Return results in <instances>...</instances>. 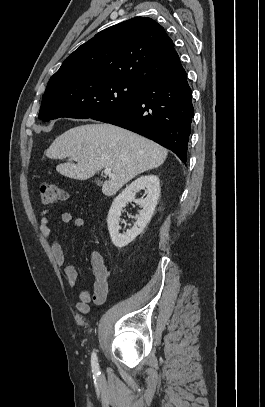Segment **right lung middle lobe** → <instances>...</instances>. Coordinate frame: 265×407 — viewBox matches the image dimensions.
I'll return each mask as SVG.
<instances>
[{
	"label": "right lung middle lobe",
	"mask_w": 265,
	"mask_h": 407,
	"mask_svg": "<svg viewBox=\"0 0 265 407\" xmlns=\"http://www.w3.org/2000/svg\"><path fill=\"white\" fill-rule=\"evenodd\" d=\"M144 85L119 79L89 77L73 82L48 83L39 119L94 118L133 103Z\"/></svg>",
	"instance_id": "1"
}]
</instances>
